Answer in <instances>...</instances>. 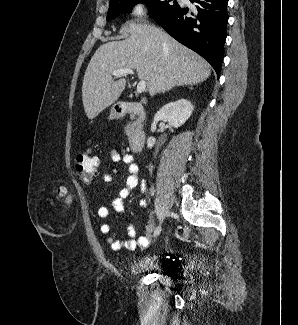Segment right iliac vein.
Here are the masks:
<instances>
[{
	"mask_svg": "<svg viewBox=\"0 0 298 325\" xmlns=\"http://www.w3.org/2000/svg\"><path fill=\"white\" fill-rule=\"evenodd\" d=\"M155 204H156L158 220L160 223H162L164 216H165L164 206L158 197L155 200Z\"/></svg>",
	"mask_w": 298,
	"mask_h": 325,
	"instance_id": "1",
	"label": "right iliac vein"
}]
</instances>
